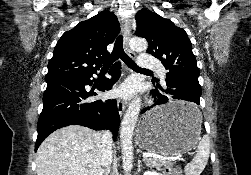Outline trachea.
<instances>
[{
    "instance_id": "1",
    "label": "trachea",
    "mask_w": 251,
    "mask_h": 175,
    "mask_svg": "<svg viewBox=\"0 0 251 175\" xmlns=\"http://www.w3.org/2000/svg\"><path fill=\"white\" fill-rule=\"evenodd\" d=\"M121 58L128 67L132 68L133 70L144 71V72H151V70H147V68L138 67V65L130 58L123 49V36L119 35L115 41L113 52L111 53L110 57L106 60L105 65L102 68V71H107L111 64Z\"/></svg>"
}]
</instances>
